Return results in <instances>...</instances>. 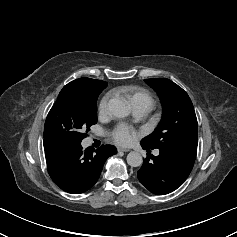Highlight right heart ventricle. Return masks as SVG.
<instances>
[{
  "label": "right heart ventricle",
  "instance_id": "e07e8e85",
  "mask_svg": "<svg viewBox=\"0 0 237 237\" xmlns=\"http://www.w3.org/2000/svg\"><path fill=\"white\" fill-rule=\"evenodd\" d=\"M119 92L122 93L130 101L132 106L136 104H144L148 105L149 107L153 106V99L150 93L139 86H123L119 89Z\"/></svg>",
  "mask_w": 237,
  "mask_h": 237
}]
</instances>
